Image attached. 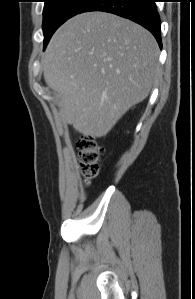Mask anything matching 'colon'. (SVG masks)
<instances>
[{
    "label": "colon",
    "instance_id": "obj_1",
    "mask_svg": "<svg viewBox=\"0 0 195 299\" xmlns=\"http://www.w3.org/2000/svg\"><path fill=\"white\" fill-rule=\"evenodd\" d=\"M77 149L81 174L90 183L99 174L103 148L93 136L82 135L77 142Z\"/></svg>",
    "mask_w": 195,
    "mask_h": 299
}]
</instances>
